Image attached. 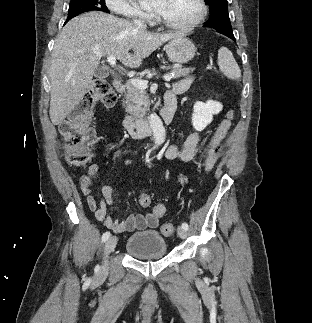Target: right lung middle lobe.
<instances>
[{"label":"right lung middle lobe","mask_w":312,"mask_h":323,"mask_svg":"<svg viewBox=\"0 0 312 323\" xmlns=\"http://www.w3.org/2000/svg\"><path fill=\"white\" fill-rule=\"evenodd\" d=\"M92 10L109 12L105 5V0H71L67 20Z\"/></svg>","instance_id":"1"}]
</instances>
